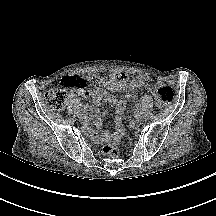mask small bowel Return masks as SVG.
I'll use <instances>...</instances> for the list:
<instances>
[{
  "label": "small bowel",
  "instance_id": "c3829d8e",
  "mask_svg": "<svg viewBox=\"0 0 216 216\" xmlns=\"http://www.w3.org/2000/svg\"><path fill=\"white\" fill-rule=\"evenodd\" d=\"M96 84L92 85L87 91L83 92L85 97L89 98L93 105H99L100 102L105 99L115 109L117 113H123L128 102H132L136 99L135 92L139 89H146L148 91H154L155 85L149 81L146 75H137L133 78H129L124 72L115 70L106 79H99L92 77ZM102 83V85H100ZM125 92V98L123 100L118 99L114 93ZM158 104H160V98L156 94ZM91 124L95 126L100 125V117L92 111L90 115ZM117 132L116 133H104L98 139L115 143L124 134L123 123L120 119H117Z\"/></svg>",
  "mask_w": 216,
  "mask_h": 216
}]
</instances>
